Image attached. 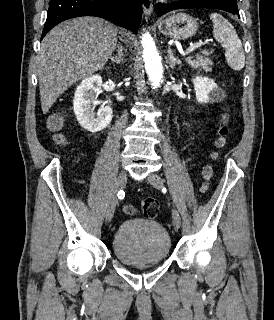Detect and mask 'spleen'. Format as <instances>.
Segmentation results:
<instances>
[{"instance_id": "3e777b00", "label": "spleen", "mask_w": 274, "mask_h": 320, "mask_svg": "<svg viewBox=\"0 0 274 320\" xmlns=\"http://www.w3.org/2000/svg\"><path fill=\"white\" fill-rule=\"evenodd\" d=\"M213 22V38L226 48L225 58L232 70H242L245 66V56L236 30L232 24L220 14H211Z\"/></svg>"}]
</instances>
